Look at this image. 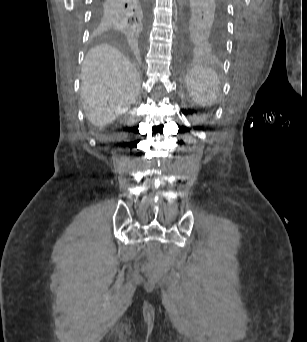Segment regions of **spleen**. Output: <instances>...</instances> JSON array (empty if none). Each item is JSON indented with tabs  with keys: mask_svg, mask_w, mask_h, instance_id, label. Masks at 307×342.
I'll return each instance as SVG.
<instances>
[{
	"mask_svg": "<svg viewBox=\"0 0 307 342\" xmlns=\"http://www.w3.org/2000/svg\"><path fill=\"white\" fill-rule=\"evenodd\" d=\"M188 76L186 82L189 84L193 100H196L199 106H212L219 94L218 74L211 68H199V70H189Z\"/></svg>",
	"mask_w": 307,
	"mask_h": 342,
	"instance_id": "obj_1",
	"label": "spleen"
}]
</instances>
